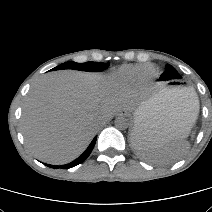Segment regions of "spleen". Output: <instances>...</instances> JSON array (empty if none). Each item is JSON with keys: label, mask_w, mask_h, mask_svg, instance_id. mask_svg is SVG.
I'll list each match as a JSON object with an SVG mask.
<instances>
[{"label": "spleen", "mask_w": 212, "mask_h": 212, "mask_svg": "<svg viewBox=\"0 0 212 212\" xmlns=\"http://www.w3.org/2000/svg\"><path fill=\"white\" fill-rule=\"evenodd\" d=\"M167 98L174 99L190 115L195 117L199 100L195 90L191 87L176 88L166 93ZM148 121L144 117L135 116V136L142 148H150L149 160L156 163H165L180 158L189 148L185 136L166 138L160 132L149 129Z\"/></svg>", "instance_id": "spleen-1"}]
</instances>
